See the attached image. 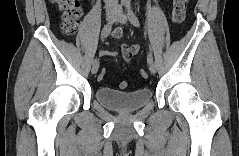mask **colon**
<instances>
[{
  "instance_id": "obj_1",
  "label": "colon",
  "mask_w": 239,
  "mask_h": 156,
  "mask_svg": "<svg viewBox=\"0 0 239 156\" xmlns=\"http://www.w3.org/2000/svg\"><path fill=\"white\" fill-rule=\"evenodd\" d=\"M58 9L62 14V31L65 34H73L79 25V20L81 17V9L79 3L75 0H60L57 2ZM188 6V0H174L173 10H172V19L175 23L181 24L185 19V14ZM106 69H102L98 75L100 81L104 80L106 77ZM140 75L143 79L148 77L145 70L140 71ZM128 83L122 81L120 83L121 89H126Z\"/></svg>"
}]
</instances>
